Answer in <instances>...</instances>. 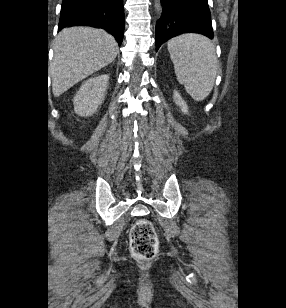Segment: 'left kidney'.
<instances>
[{"instance_id": "1", "label": "left kidney", "mask_w": 286, "mask_h": 308, "mask_svg": "<svg viewBox=\"0 0 286 308\" xmlns=\"http://www.w3.org/2000/svg\"><path fill=\"white\" fill-rule=\"evenodd\" d=\"M173 98H174V102L177 106H179V108L181 109V111L185 114H188V105L187 103L182 99V97L180 96V94L177 91H174L173 94Z\"/></svg>"}]
</instances>
